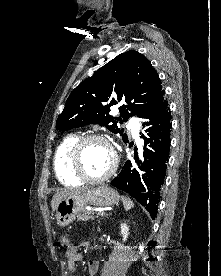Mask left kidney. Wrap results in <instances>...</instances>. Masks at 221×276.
Wrapping results in <instances>:
<instances>
[{
    "label": "left kidney",
    "mask_w": 221,
    "mask_h": 276,
    "mask_svg": "<svg viewBox=\"0 0 221 276\" xmlns=\"http://www.w3.org/2000/svg\"><path fill=\"white\" fill-rule=\"evenodd\" d=\"M120 228L123 241H126L129 235V228L126 223H122Z\"/></svg>",
    "instance_id": "1"
}]
</instances>
